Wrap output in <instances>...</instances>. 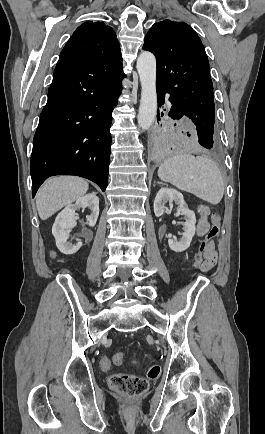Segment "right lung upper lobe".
Wrapping results in <instances>:
<instances>
[{"label": "right lung upper lobe", "mask_w": 265, "mask_h": 434, "mask_svg": "<svg viewBox=\"0 0 265 434\" xmlns=\"http://www.w3.org/2000/svg\"><path fill=\"white\" fill-rule=\"evenodd\" d=\"M121 55L112 27L101 21H87L73 33L60 53V58L96 59Z\"/></svg>", "instance_id": "1"}]
</instances>
